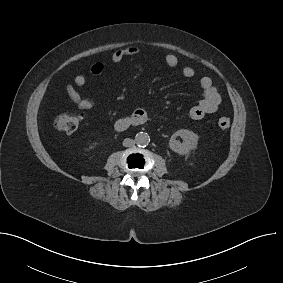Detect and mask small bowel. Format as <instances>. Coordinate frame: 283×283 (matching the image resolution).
Returning <instances> with one entry per match:
<instances>
[{
    "label": "small bowel",
    "mask_w": 283,
    "mask_h": 283,
    "mask_svg": "<svg viewBox=\"0 0 283 283\" xmlns=\"http://www.w3.org/2000/svg\"><path fill=\"white\" fill-rule=\"evenodd\" d=\"M140 52L138 46L132 45L123 49H119L110 57V60L114 64L120 63L124 58L128 56L136 55ZM164 62L169 67H176L179 63L178 57L172 53H168L164 56ZM105 71V66L101 62H95L90 67V73L98 76ZM182 74L185 78L191 79L195 76V70L192 67L186 66L182 69ZM87 83V78L78 74L74 77L73 82L67 84L66 90L70 99L82 110H89L94 107L95 103L92 99L83 98L77 91L76 87H83ZM199 86L202 90V99L193 106L190 110V117L194 120H201L209 114L215 113L221 104V96L214 86L212 80L207 77H201L199 80ZM132 117L144 123L148 117L146 110L139 108L132 113Z\"/></svg>",
    "instance_id": "c3829d8e"
}]
</instances>
